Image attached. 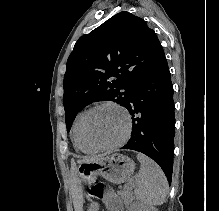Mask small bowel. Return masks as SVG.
Returning <instances> with one entry per match:
<instances>
[{
    "mask_svg": "<svg viewBox=\"0 0 219 211\" xmlns=\"http://www.w3.org/2000/svg\"><path fill=\"white\" fill-rule=\"evenodd\" d=\"M108 211H122V204L118 196L111 189H105L98 194Z\"/></svg>",
    "mask_w": 219,
    "mask_h": 211,
    "instance_id": "1",
    "label": "small bowel"
}]
</instances>
